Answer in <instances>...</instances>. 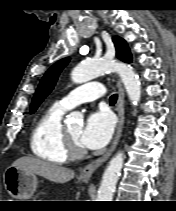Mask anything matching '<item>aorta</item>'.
<instances>
[{"label": "aorta", "mask_w": 176, "mask_h": 211, "mask_svg": "<svg viewBox=\"0 0 176 211\" xmlns=\"http://www.w3.org/2000/svg\"><path fill=\"white\" fill-rule=\"evenodd\" d=\"M112 71L119 73L129 100L133 105H137L141 98V83L133 68L124 63L107 59L83 61L74 67L71 73V79L74 83L80 84ZM70 117L78 121L83 120V115L79 112L71 113ZM123 162V152H118L110 160L102 176L97 201H112Z\"/></svg>", "instance_id": "1"}]
</instances>
